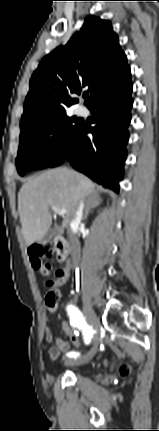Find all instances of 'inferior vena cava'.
Segmentation results:
<instances>
[{"instance_id": "602c4592", "label": "inferior vena cava", "mask_w": 159, "mask_h": 431, "mask_svg": "<svg viewBox=\"0 0 159 431\" xmlns=\"http://www.w3.org/2000/svg\"><path fill=\"white\" fill-rule=\"evenodd\" d=\"M83 208H84V203L83 201L80 202L76 214H75V218L72 221V225H76L80 222L81 218H82V213H83ZM70 241H71V247H72V255L74 259H79L80 257V252H81V247H80V243L79 240L73 236L72 234L70 235Z\"/></svg>"}]
</instances>
